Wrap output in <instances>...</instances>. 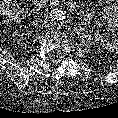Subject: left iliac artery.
I'll use <instances>...</instances> for the list:
<instances>
[{"mask_svg":"<svg viewBox=\"0 0 118 118\" xmlns=\"http://www.w3.org/2000/svg\"><path fill=\"white\" fill-rule=\"evenodd\" d=\"M59 20H63L65 19V14L63 12H61L58 16Z\"/></svg>","mask_w":118,"mask_h":118,"instance_id":"obj_1","label":"left iliac artery"}]
</instances>
